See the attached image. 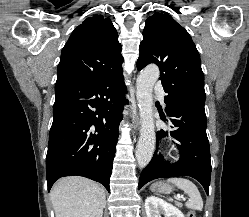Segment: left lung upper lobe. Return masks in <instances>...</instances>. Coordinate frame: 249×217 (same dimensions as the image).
<instances>
[{
	"label": "left lung upper lobe",
	"instance_id": "obj_1",
	"mask_svg": "<svg viewBox=\"0 0 249 217\" xmlns=\"http://www.w3.org/2000/svg\"><path fill=\"white\" fill-rule=\"evenodd\" d=\"M143 36L137 69L159 66L166 105L189 101L204 106V74L189 33L169 14L155 13L146 20Z\"/></svg>",
	"mask_w": 249,
	"mask_h": 217
}]
</instances>
